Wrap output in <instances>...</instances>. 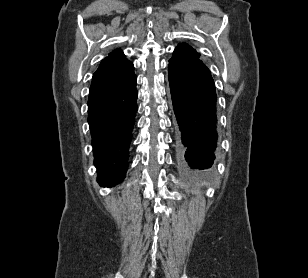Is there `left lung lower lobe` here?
<instances>
[{"mask_svg": "<svg viewBox=\"0 0 308 278\" xmlns=\"http://www.w3.org/2000/svg\"><path fill=\"white\" fill-rule=\"evenodd\" d=\"M178 144L192 169L210 168L216 148V92L201 60L168 65Z\"/></svg>", "mask_w": 308, "mask_h": 278, "instance_id": "0a47b994", "label": "left lung lower lobe"}]
</instances>
